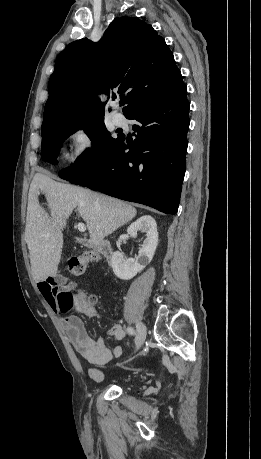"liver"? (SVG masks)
Returning a JSON list of instances; mask_svg holds the SVG:
<instances>
[{
    "label": "liver",
    "instance_id": "1",
    "mask_svg": "<svg viewBox=\"0 0 261 459\" xmlns=\"http://www.w3.org/2000/svg\"><path fill=\"white\" fill-rule=\"evenodd\" d=\"M46 196L50 215L40 206L39 190ZM86 222L90 243L100 246L108 235L131 221L136 209L116 198L71 184L57 182L45 171L30 185L26 242L36 282L55 276L63 247V229L73 210Z\"/></svg>",
    "mask_w": 261,
    "mask_h": 459
}]
</instances>
